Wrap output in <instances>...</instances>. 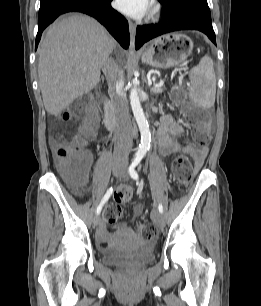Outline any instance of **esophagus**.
<instances>
[{
	"label": "esophagus",
	"instance_id": "esophagus-1",
	"mask_svg": "<svg viewBox=\"0 0 261 306\" xmlns=\"http://www.w3.org/2000/svg\"><path fill=\"white\" fill-rule=\"evenodd\" d=\"M129 24V32H130V38H131V48L134 47V43H135V33H136V25L133 21L129 20L128 21Z\"/></svg>",
	"mask_w": 261,
	"mask_h": 306
}]
</instances>
